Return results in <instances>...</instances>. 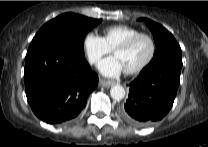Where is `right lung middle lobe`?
Wrapping results in <instances>:
<instances>
[{
	"instance_id": "1",
	"label": "right lung middle lobe",
	"mask_w": 208,
	"mask_h": 147,
	"mask_svg": "<svg viewBox=\"0 0 208 147\" xmlns=\"http://www.w3.org/2000/svg\"><path fill=\"white\" fill-rule=\"evenodd\" d=\"M101 21V19H92L75 13L62 14L41 27L31 41L27 53L60 45L84 56L85 36Z\"/></svg>"
}]
</instances>
